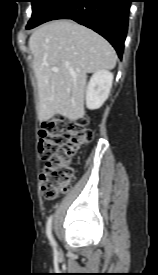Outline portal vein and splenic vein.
Wrapping results in <instances>:
<instances>
[{
	"instance_id": "18ae733b",
	"label": "portal vein and splenic vein",
	"mask_w": 158,
	"mask_h": 275,
	"mask_svg": "<svg viewBox=\"0 0 158 275\" xmlns=\"http://www.w3.org/2000/svg\"><path fill=\"white\" fill-rule=\"evenodd\" d=\"M58 70H59V69H58L57 67H53V68H52V71H54V72H58Z\"/></svg>"
}]
</instances>
